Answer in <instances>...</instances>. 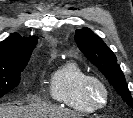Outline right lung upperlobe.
<instances>
[{"label":"right lung upper lobe","mask_w":133,"mask_h":118,"mask_svg":"<svg viewBox=\"0 0 133 118\" xmlns=\"http://www.w3.org/2000/svg\"><path fill=\"white\" fill-rule=\"evenodd\" d=\"M38 38L21 37L17 33L0 42V66H15L27 63L37 44Z\"/></svg>","instance_id":"cb5924a9"}]
</instances>
